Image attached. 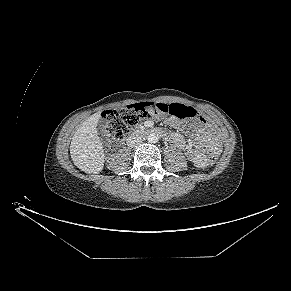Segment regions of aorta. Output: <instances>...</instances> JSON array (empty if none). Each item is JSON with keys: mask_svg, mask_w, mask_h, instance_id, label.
I'll return each instance as SVG.
<instances>
[{"mask_svg": "<svg viewBox=\"0 0 291 291\" xmlns=\"http://www.w3.org/2000/svg\"><path fill=\"white\" fill-rule=\"evenodd\" d=\"M158 140H159V137H158V135L155 134V133H151V134L148 136V141H149L150 143H156V142H158Z\"/></svg>", "mask_w": 291, "mask_h": 291, "instance_id": "1", "label": "aorta"}]
</instances>
